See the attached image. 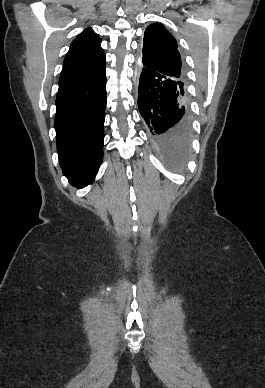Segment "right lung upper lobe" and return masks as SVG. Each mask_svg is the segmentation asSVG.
Masks as SVG:
<instances>
[{
    "label": "right lung upper lobe",
    "mask_w": 265,
    "mask_h": 388,
    "mask_svg": "<svg viewBox=\"0 0 265 388\" xmlns=\"http://www.w3.org/2000/svg\"><path fill=\"white\" fill-rule=\"evenodd\" d=\"M100 44L99 36L91 28L77 36L65 57L59 88L95 79L105 73V54Z\"/></svg>",
    "instance_id": "obj_1"
}]
</instances>
